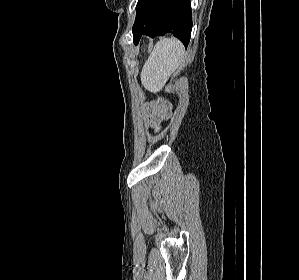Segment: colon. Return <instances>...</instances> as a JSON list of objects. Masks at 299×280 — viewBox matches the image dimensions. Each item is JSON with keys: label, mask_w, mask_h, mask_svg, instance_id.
Returning <instances> with one entry per match:
<instances>
[{"label": "colon", "mask_w": 299, "mask_h": 280, "mask_svg": "<svg viewBox=\"0 0 299 280\" xmlns=\"http://www.w3.org/2000/svg\"><path fill=\"white\" fill-rule=\"evenodd\" d=\"M159 106H161L164 110H168L169 109V104L165 101H162L159 103Z\"/></svg>", "instance_id": "colon-1"}]
</instances>
